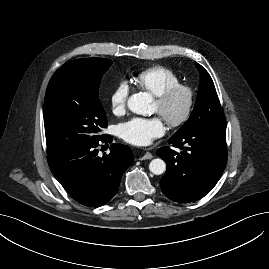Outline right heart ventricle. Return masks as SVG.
Returning a JSON list of instances; mask_svg holds the SVG:
<instances>
[{"instance_id": "e07e8e85", "label": "right heart ventricle", "mask_w": 269, "mask_h": 269, "mask_svg": "<svg viewBox=\"0 0 269 269\" xmlns=\"http://www.w3.org/2000/svg\"><path fill=\"white\" fill-rule=\"evenodd\" d=\"M178 83H180V79L177 74L172 69L164 66L146 68L135 77V84L153 96Z\"/></svg>"}]
</instances>
